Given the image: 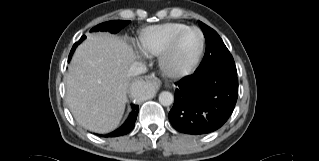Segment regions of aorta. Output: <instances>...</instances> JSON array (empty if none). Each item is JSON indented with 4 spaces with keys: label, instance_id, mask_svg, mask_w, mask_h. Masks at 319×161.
<instances>
[{
    "label": "aorta",
    "instance_id": "obj_1",
    "mask_svg": "<svg viewBox=\"0 0 319 161\" xmlns=\"http://www.w3.org/2000/svg\"><path fill=\"white\" fill-rule=\"evenodd\" d=\"M150 89H151L150 85H146L145 87H143L138 93L139 97L147 98L149 95L148 91H150ZM173 100H174V97L172 93L168 91H163L159 95V102L163 106H170L173 103Z\"/></svg>",
    "mask_w": 319,
    "mask_h": 161
}]
</instances>
